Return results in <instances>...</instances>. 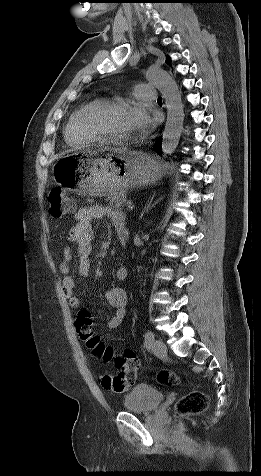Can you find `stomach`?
Returning a JSON list of instances; mask_svg holds the SVG:
<instances>
[{"label":"stomach","instance_id":"obj_1","mask_svg":"<svg viewBox=\"0 0 261 476\" xmlns=\"http://www.w3.org/2000/svg\"><path fill=\"white\" fill-rule=\"evenodd\" d=\"M164 168L155 158L134 150L105 149L78 151V156H61L55 164L58 183L78 195L124 194L128 188L158 181Z\"/></svg>","mask_w":261,"mask_h":476}]
</instances>
